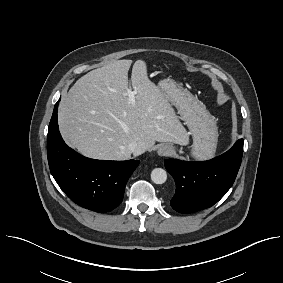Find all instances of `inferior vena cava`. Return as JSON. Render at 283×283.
I'll use <instances>...</instances> for the list:
<instances>
[{
	"mask_svg": "<svg viewBox=\"0 0 283 283\" xmlns=\"http://www.w3.org/2000/svg\"><path fill=\"white\" fill-rule=\"evenodd\" d=\"M128 149L134 155H140L143 152H145L144 147L142 145L138 144L137 142H134V141L129 143Z\"/></svg>",
	"mask_w": 283,
	"mask_h": 283,
	"instance_id": "602c4592",
	"label": "inferior vena cava"
}]
</instances>
